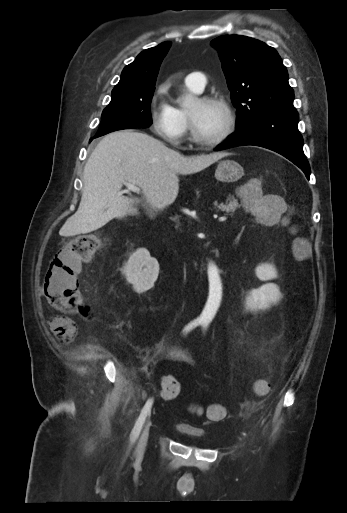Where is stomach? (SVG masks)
I'll return each instance as SVG.
<instances>
[{
    "label": "stomach",
    "instance_id": "0dacf381",
    "mask_svg": "<svg viewBox=\"0 0 347 513\" xmlns=\"http://www.w3.org/2000/svg\"><path fill=\"white\" fill-rule=\"evenodd\" d=\"M244 175L243 167L235 160H223L219 162L216 171L215 178L218 181L231 183L239 180Z\"/></svg>",
    "mask_w": 347,
    "mask_h": 513
}]
</instances>
